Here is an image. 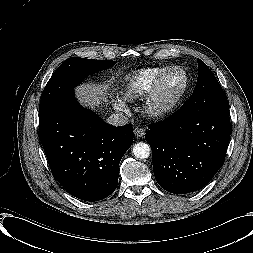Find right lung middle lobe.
Masks as SVG:
<instances>
[{"label": "right lung middle lobe", "mask_w": 253, "mask_h": 253, "mask_svg": "<svg viewBox=\"0 0 253 253\" xmlns=\"http://www.w3.org/2000/svg\"><path fill=\"white\" fill-rule=\"evenodd\" d=\"M115 64L112 60H93L71 57L65 60L54 72L42 93L39 117L44 116L55 103L65 95L73 92L82 78L95 72L105 70Z\"/></svg>", "instance_id": "right-lung-middle-lobe-1"}]
</instances>
